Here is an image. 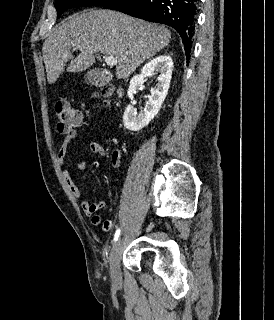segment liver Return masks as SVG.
<instances>
[{"label":"liver","mask_w":274,"mask_h":320,"mask_svg":"<svg viewBox=\"0 0 274 320\" xmlns=\"http://www.w3.org/2000/svg\"><path fill=\"white\" fill-rule=\"evenodd\" d=\"M171 32L112 10H83L53 28L42 48L48 84H55L65 66L67 72H84L95 62L94 54L117 58V80L129 78L145 60L170 44ZM79 48L74 58L70 50Z\"/></svg>","instance_id":"1"}]
</instances>
